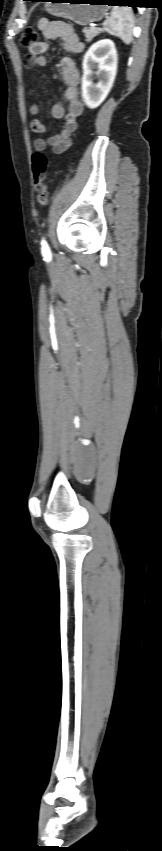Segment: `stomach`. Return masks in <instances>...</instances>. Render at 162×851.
Instances as JSON below:
<instances>
[{
  "label": "stomach",
  "mask_w": 162,
  "mask_h": 851,
  "mask_svg": "<svg viewBox=\"0 0 162 851\" xmlns=\"http://www.w3.org/2000/svg\"><path fill=\"white\" fill-rule=\"evenodd\" d=\"M107 0H51L45 5L53 16L69 19L79 25L100 21L108 6Z\"/></svg>",
  "instance_id": "obj_1"
}]
</instances>
